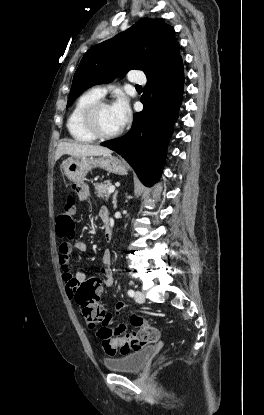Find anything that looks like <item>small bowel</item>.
I'll list each match as a JSON object with an SVG mask.
<instances>
[{
  "label": "small bowel",
  "instance_id": "c3829d8e",
  "mask_svg": "<svg viewBox=\"0 0 264 415\" xmlns=\"http://www.w3.org/2000/svg\"><path fill=\"white\" fill-rule=\"evenodd\" d=\"M86 197L89 195L86 194ZM99 219L102 223H106L107 219L110 218L109 211L106 207L100 208L98 212ZM75 249L80 253H85L88 250V245L84 241H78L75 243ZM72 253V246L68 243H62L59 245L58 256H59V265L63 271V279L65 283V291L67 296L75 301L76 303V294L79 286L86 282L87 280L94 279L99 284L100 292L105 288L111 287L114 284V275L111 268L112 256L109 251H105L102 256V266L99 270L98 276L89 277L84 272L78 271L74 274L71 273V261L70 255ZM77 304V303H76ZM126 306V302L121 300L116 304V312L119 314L120 310ZM114 317L110 314L107 315L105 326L109 330L110 334L114 333L119 335L123 333L127 326L128 322L125 320H119L114 324ZM114 324V326H112Z\"/></svg>",
  "mask_w": 264,
  "mask_h": 415
}]
</instances>
